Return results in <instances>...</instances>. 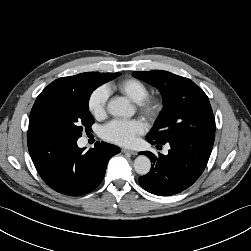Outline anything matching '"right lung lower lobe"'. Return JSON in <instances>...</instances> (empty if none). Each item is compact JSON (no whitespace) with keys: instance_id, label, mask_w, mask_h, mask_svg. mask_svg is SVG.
Here are the masks:
<instances>
[{"instance_id":"obj_1","label":"right lung lower lobe","mask_w":251,"mask_h":251,"mask_svg":"<svg viewBox=\"0 0 251 251\" xmlns=\"http://www.w3.org/2000/svg\"><path fill=\"white\" fill-rule=\"evenodd\" d=\"M28 149L32 161L44 182L53 190L70 196L93 191L103 180L110 158L120 148L97 142L85 151L77 139L62 138L28 130Z\"/></svg>"}]
</instances>
